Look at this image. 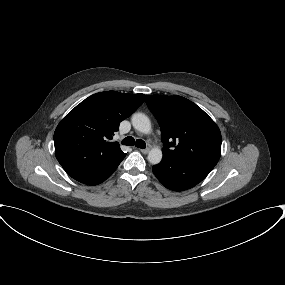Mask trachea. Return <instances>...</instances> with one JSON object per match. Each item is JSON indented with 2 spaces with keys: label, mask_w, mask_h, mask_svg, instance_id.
I'll use <instances>...</instances> for the list:
<instances>
[{
  "label": "trachea",
  "mask_w": 285,
  "mask_h": 285,
  "mask_svg": "<svg viewBox=\"0 0 285 285\" xmlns=\"http://www.w3.org/2000/svg\"><path fill=\"white\" fill-rule=\"evenodd\" d=\"M122 144L126 145V146H134L135 145L136 147L141 148V149H145V147H146V144L142 139L135 140L131 136H128L125 139H123Z\"/></svg>",
  "instance_id": "3493384b"
}]
</instances>
